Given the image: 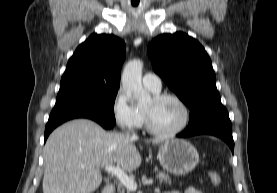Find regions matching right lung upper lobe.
I'll list each match as a JSON object with an SVG mask.
<instances>
[{
    "mask_svg": "<svg viewBox=\"0 0 277 193\" xmlns=\"http://www.w3.org/2000/svg\"><path fill=\"white\" fill-rule=\"evenodd\" d=\"M125 43L114 35L92 34L69 59L60 90L81 86L118 89Z\"/></svg>",
    "mask_w": 277,
    "mask_h": 193,
    "instance_id": "right-lung-upper-lobe-1",
    "label": "right lung upper lobe"
}]
</instances>
